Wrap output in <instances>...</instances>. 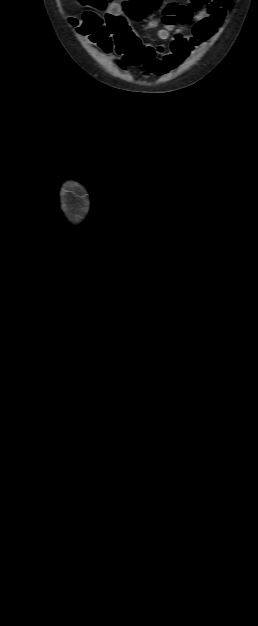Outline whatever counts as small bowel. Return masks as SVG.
Instances as JSON below:
<instances>
[{
  "instance_id": "1",
  "label": "small bowel",
  "mask_w": 258,
  "mask_h": 626,
  "mask_svg": "<svg viewBox=\"0 0 258 626\" xmlns=\"http://www.w3.org/2000/svg\"><path fill=\"white\" fill-rule=\"evenodd\" d=\"M206 3L204 11L194 13L198 6ZM232 4L233 0H193L191 5L166 4L160 21L149 24V27L159 26L157 36L160 40L169 39L174 32L170 43L159 47L141 43L128 29L120 7L113 5L106 13V24L103 25L108 33L107 51H116L123 68L128 64L141 65L146 75H165L217 33ZM178 23L191 26L189 29H176ZM139 54L141 57L137 62Z\"/></svg>"
}]
</instances>
